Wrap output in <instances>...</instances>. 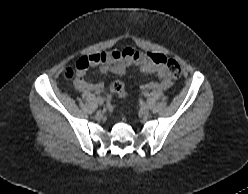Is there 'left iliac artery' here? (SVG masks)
Masks as SVG:
<instances>
[{
	"label": "left iliac artery",
	"instance_id": "44dca946",
	"mask_svg": "<svg viewBox=\"0 0 248 194\" xmlns=\"http://www.w3.org/2000/svg\"><path fill=\"white\" fill-rule=\"evenodd\" d=\"M144 95H145V97H148L149 96V93L148 92H145Z\"/></svg>",
	"mask_w": 248,
	"mask_h": 194
}]
</instances>
